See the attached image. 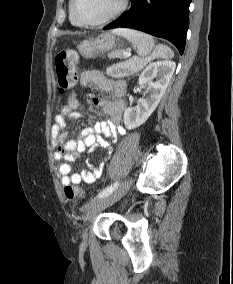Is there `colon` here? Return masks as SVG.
I'll return each mask as SVG.
<instances>
[{"instance_id":"5ec220e1","label":"colon","mask_w":233,"mask_h":284,"mask_svg":"<svg viewBox=\"0 0 233 284\" xmlns=\"http://www.w3.org/2000/svg\"><path fill=\"white\" fill-rule=\"evenodd\" d=\"M172 50L164 44L157 45L154 50L144 57H133L121 63L110 66L107 70L108 74L114 78H121L132 75L154 59H171ZM78 61V54L74 50H62L55 58V68L59 90L64 93L72 88L77 83L76 64ZM66 198L73 200L83 195L81 188L68 185L64 188Z\"/></svg>"}]
</instances>
